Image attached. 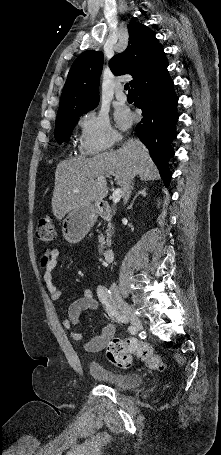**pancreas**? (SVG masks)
I'll use <instances>...</instances> for the list:
<instances>
[{"label": "pancreas", "mask_w": 221, "mask_h": 455, "mask_svg": "<svg viewBox=\"0 0 221 455\" xmlns=\"http://www.w3.org/2000/svg\"><path fill=\"white\" fill-rule=\"evenodd\" d=\"M113 234H114V226L112 223L109 222L107 225L106 236H104L103 234H101L99 236V243H100V245L98 247L99 254L103 253V251L105 249V245L110 242Z\"/></svg>", "instance_id": "obj_1"}]
</instances>
